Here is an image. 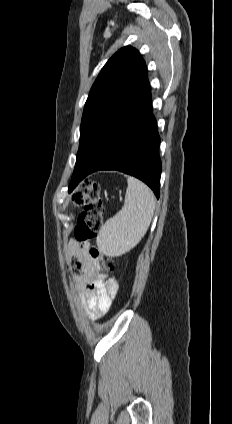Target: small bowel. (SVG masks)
I'll return each mask as SVG.
<instances>
[{"label":"small bowel","instance_id":"1","mask_svg":"<svg viewBox=\"0 0 232 424\" xmlns=\"http://www.w3.org/2000/svg\"><path fill=\"white\" fill-rule=\"evenodd\" d=\"M88 249V243L70 240L65 247V260L78 270L72 278L82 309L89 319L97 320L109 310L117 294V282L106 279Z\"/></svg>","mask_w":232,"mask_h":424}]
</instances>
